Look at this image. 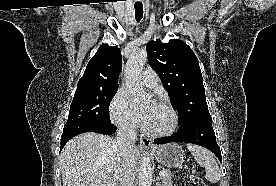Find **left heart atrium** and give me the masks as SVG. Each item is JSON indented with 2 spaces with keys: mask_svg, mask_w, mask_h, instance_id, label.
Returning <instances> with one entry per match:
<instances>
[{
  "mask_svg": "<svg viewBox=\"0 0 276 186\" xmlns=\"http://www.w3.org/2000/svg\"><path fill=\"white\" fill-rule=\"evenodd\" d=\"M156 105V103H153L151 104L148 108L144 109L143 111H141L139 114H138V117L140 119V121L146 126L150 117H151V114H152V111H153V108L154 106Z\"/></svg>",
  "mask_w": 276,
  "mask_h": 186,
  "instance_id": "39dd6f15",
  "label": "left heart atrium"
}]
</instances>
